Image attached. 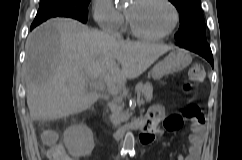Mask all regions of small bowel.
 Segmentation results:
<instances>
[{
	"mask_svg": "<svg viewBox=\"0 0 242 160\" xmlns=\"http://www.w3.org/2000/svg\"><path fill=\"white\" fill-rule=\"evenodd\" d=\"M161 117L160 112H155L151 115H147L144 118L147 119L145 126L142 129L140 140L143 144H151L158 139L155 127ZM164 129L167 131H178L183 126V120L178 115H172L164 119ZM203 130L204 127L201 122H196L193 130L189 136L188 154L180 155L178 160H200L202 144H203ZM65 160H74L70 156H66Z\"/></svg>",
	"mask_w": 242,
	"mask_h": 160,
	"instance_id": "1",
	"label": "small bowel"
}]
</instances>
